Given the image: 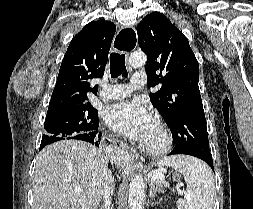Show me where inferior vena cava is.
<instances>
[{"label":"inferior vena cava","mask_w":253,"mask_h":209,"mask_svg":"<svg viewBox=\"0 0 253 209\" xmlns=\"http://www.w3.org/2000/svg\"><path fill=\"white\" fill-rule=\"evenodd\" d=\"M103 186L105 197L109 200L114 192L113 178L110 171H107L105 174Z\"/></svg>","instance_id":"obj_1"}]
</instances>
